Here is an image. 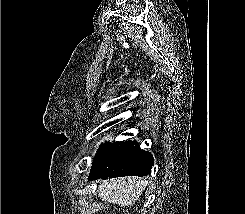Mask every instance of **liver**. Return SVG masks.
Masks as SVG:
<instances>
[{
    "instance_id": "liver-1",
    "label": "liver",
    "mask_w": 245,
    "mask_h": 214,
    "mask_svg": "<svg viewBox=\"0 0 245 214\" xmlns=\"http://www.w3.org/2000/svg\"><path fill=\"white\" fill-rule=\"evenodd\" d=\"M147 183V179L138 177L108 179L100 182L98 196L102 201L129 208L139 200Z\"/></svg>"
}]
</instances>
